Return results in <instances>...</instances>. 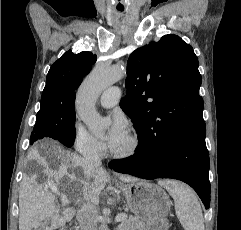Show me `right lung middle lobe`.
I'll list each match as a JSON object with an SVG mask.
<instances>
[{"instance_id":"dd1d6c3e","label":"right lung middle lobe","mask_w":241,"mask_h":230,"mask_svg":"<svg viewBox=\"0 0 241 230\" xmlns=\"http://www.w3.org/2000/svg\"><path fill=\"white\" fill-rule=\"evenodd\" d=\"M75 136L74 110L38 112L36 124L30 137V144L44 138H52L67 147H71Z\"/></svg>"}]
</instances>
